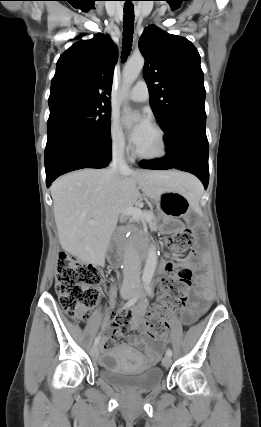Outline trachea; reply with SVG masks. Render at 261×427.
<instances>
[{
  "mask_svg": "<svg viewBox=\"0 0 261 427\" xmlns=\"http://www.w3.org/2000/svg\"><path fill=\"white\" fill-rule=\"evenodd\" d=\"M134 30V6L131 3L124 5L123 16V52L122 58L125 59L129 55L133 41Z\"/></svg>",
  "mask_w": 261,
  "mask_h": 427,
  "instance_id": "1",
  "label": "trachea"
}]
</instances>
